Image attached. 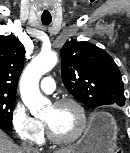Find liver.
I'll return each mask as SVG.
<instances>
[{"instance_id":"1","label":"liver","mask_w":130,"mask_h":153,"mask_svg":"<svg viewBox=\"0 0 130 153\" xmlns=\"http://www.w3.org/2000/svg\"><path fill=\"white\" fill-rule=\"evenodd\" d=\"M0 153H24L15 145L6 133L0 130ZM57 153H70V150H59Z\"/></svg>"}]
</instances>
